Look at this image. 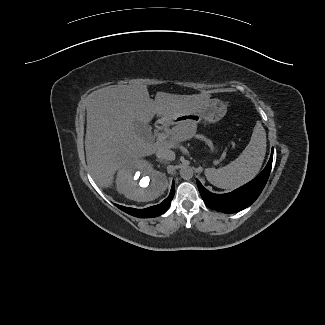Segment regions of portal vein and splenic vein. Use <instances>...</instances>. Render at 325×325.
<instances>
[{
	"label": "portal vein and splenic vein",
	"instance_id": "1",
	"mask_svg": "<svg viewBox=\"0 0 325 325\" xmlns=\"http://www.w3.org/2000/svg\"><path fill=\"white\" fill-rule=\"evenodd\" d=\"M167 137H168L167 134H165V133H159L157 139H158V141L163 142V141H166Z\"/></svg>",
	"mask_w": 325,
	"mask_h": 325
}]
</instances>
